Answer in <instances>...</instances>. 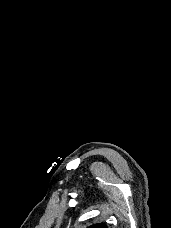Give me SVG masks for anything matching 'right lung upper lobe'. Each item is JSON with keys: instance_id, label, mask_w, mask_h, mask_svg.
<instances>
[{"instance_id": "cb5924a9", "label": "right lung upper lobe", "mask_w": 171, "mask_h": 228, "mask_svg": "<svg viewBox=\"0 0 171 228\" xmlns=\"http://www.w3.org/2000/svg\"><path fill=\"white\" fill-rule=\"evenodd\" d=\"M88 228H107V226L105 224H95V225H92Z\"/></svg>"}]
</instances>
